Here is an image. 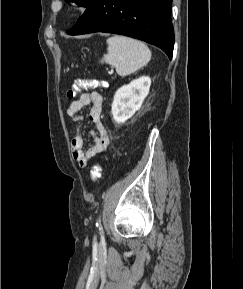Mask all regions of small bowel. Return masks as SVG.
<instances>
[{
  "label": "small bowel",
  "instance_id": "c3829d8e",
  "mask_svg": "<svg viewBox=\"0 0 243 289\" xmlns=\"http://www.w3.org/2000/svg\"><path fill=\"white\" fill-rule=\"evenodd\" d=\"M103 97L97 91L86 92L71 102L67 113L74 122L82 121L81 110L91 105L89 120L95 125L92 132L93 142L85 148L83 137L76 134L71 140V152L75 162L81 167H86L96 155L104 152L109 144V133L101 120Z\"/></svg>",
  "mask_w": 243,
  "mask_h": 289
}]
</instances>
